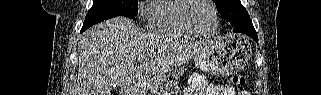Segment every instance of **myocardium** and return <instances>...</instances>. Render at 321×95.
Returning <instances> with one entry per match:
<instances>
[{"label":"myocardium","mask_w":321,"mask_h":95,"mask_svg":"<svg viewBox=\"0 0 321 95\" xmlns=\"http://www.w3.org/2000/svg\"><path fill=\"white\" fill-rule=\"evenodd\" d=\"M185 1H186V4L180 10V19L182 20V22L197 36L209 37V36L214 35L219 27L218 11H217L214 1L213 0H206L213 9L214 21H215V26H214L213 30L208 33H203L200 30H198L193 25V23L191 22V20L189 18L190 9L192 7L193 2L196 0H185Z\"/></svg>","instance_id":"1"}]
</instances>
